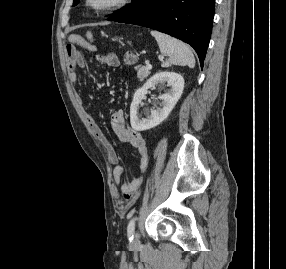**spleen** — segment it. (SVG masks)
<instances>
[{"label": "spleen", "instance_id": "spleen-1", "mask_svg": "<svg viewBox=\"0 0 286 269\" xmlns=\"http://www.w3.org/2000/svg\"><path fill=\"white\" fill-rule=\"evenodd\" d=\"M151 35L156 39L161 53L168 57L166 61L162 63V67L187 65L190 68H194V55L185 43L159 31H151Z\"/></svg>", "mask_w": 286, "mask_h": 269}]
</instances>
